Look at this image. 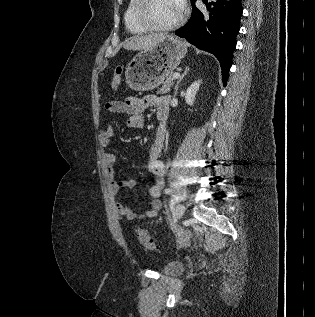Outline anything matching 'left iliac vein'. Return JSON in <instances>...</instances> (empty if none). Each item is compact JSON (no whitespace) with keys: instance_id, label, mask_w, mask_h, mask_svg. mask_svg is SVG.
<instances>
[{"instance_id":"left-iliac-vein-1","label":"left iliac vein","mask_w":315,"mask_h":317,"mask_svg":"<svg viewBox=\"0 0 315 317\" xmlns=\"http://www.w3.org/2000/svg\"><path fill=\"white\" fill-rule=\"evenodd\" d=\"M185 212V207L182 204H178L175 209V219L180 220Z\"/></svg>"}]
</instances>
